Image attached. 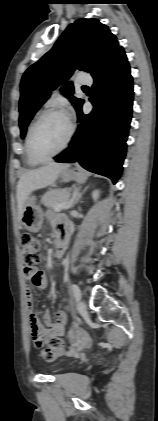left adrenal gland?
<instances>
[{"label": "left adrenal gland", "mask_w": 158, "mask_h": 421, "mask_svg": "<svg viewBox=\"0 0 158 421\" xmlns=\"http://www.w3.org/2000/svg\"><path fill=\"white\" fill-rule=\"evenodd\" d=\"M82 186H78L77 188L74 189V194H73V200L71 203V208H73L82 198V195L85 193V191L87 190L88 186L84 188L83 191H81Z\"/></svg>", "instance_id": "left-adrenal-gland-1"}]
</instances>
